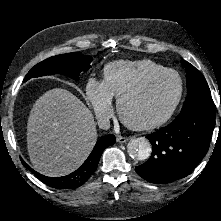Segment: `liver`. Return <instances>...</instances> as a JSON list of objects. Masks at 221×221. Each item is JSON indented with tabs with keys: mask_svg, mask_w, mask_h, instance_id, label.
I'll list each match as a JSON object with an SVG mask.
<instances>
[{
	"mask_svg": "<svg viewBox=\"0 0 221 221\" xmlns=\"http://www.w3.org/2000/svg\"><path fill=\"white\" fill-rule=\"evenodd\" d=\"M96 140L91 111L68 90L51 89L34 103L27 123V148L37 172L49 177L73 172Z\"/></svg>",
	"mask_w": 221,
	"mask_h": 221,
	"instance_id": "obj_1",
	"label": "liver"
}]
</instances>
